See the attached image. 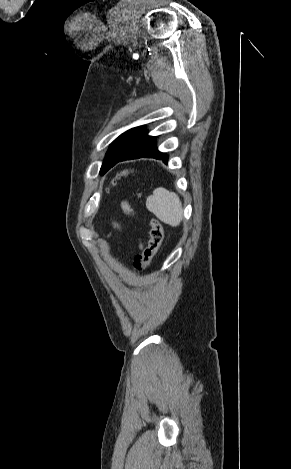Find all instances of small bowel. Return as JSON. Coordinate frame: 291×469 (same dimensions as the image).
<instances>
[{"instance_id":"small-bowel-1","label":"small bowel","mask_w":291,"mask_h":469,"mask_svg":"<svg viewBox=\"0 0 291 469\" xmlns=\"http://www.w3.org/2000/svg\"><path fill=\"white\" fill-rule=\"evenodd\" d=\"M123 209H124V211H125L127 214H129V215L132 214V209H131L127 204H125V205L123 206ZM113 226H114L116 229H120V225H119L117 222H114V223H113ZM140 247H142V245H140Z\"/></svg>"}]
</instances>
